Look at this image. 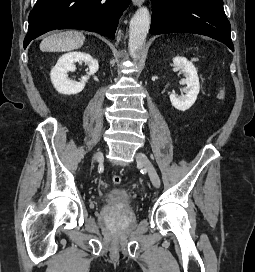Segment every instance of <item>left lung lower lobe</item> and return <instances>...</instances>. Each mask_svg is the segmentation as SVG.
<instances>
[{
  "label": "left lung lower lobe",
  "mask_w": 255,
  "mask_h": 272,
  "mask_svg": "<svg viewBox=\"0 0 255 272\" xmlns=\"http://www.w3.org/2000/svg\"><path fill=\"white\" fill-rule=\"evenodd\" d=\"M151 1V34L188 32L206 35L234 51L231 26L224 12L223 0Z\"/></svg>",
  "instance_id": "obj_1"
}]
</instances>
